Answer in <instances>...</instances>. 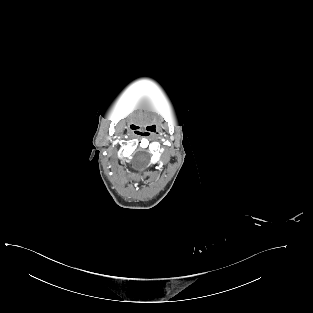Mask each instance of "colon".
I'll use <instances>...</instances> for the list:
<instances>
[{
	"label": "colon",
	"instance_id": "1",
	"mask_svg": "<svg viewBox=\"0 0 313 313\" xmlns=\"http://www.w3.org/2000/svg\"><path fill=\"white\" fill-rule=\"evenodd\" d=\"M233 236H228V238H229V241H233L234 239L232 238Z\"/></svg>",
	"mask_w": 313,
	"mask_h": 313
}]
</instances>
